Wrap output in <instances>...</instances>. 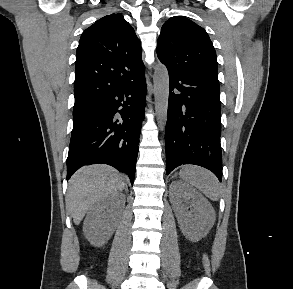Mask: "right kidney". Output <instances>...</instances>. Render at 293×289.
Here are the masks:
<instances>
[{
	"instance_id": "obj_1",
	"label": "right kidney",
	"mask_w": 293,
	"mask_h": 289,
	"mask_svg": "<svg viewBox=\"0 0 293 289\" xmlns=\"http://www.w3.org/2000/svg\"><path fill=\"white\" fill-rule=\"evenodd\" d=\"M125 204V195L115 193L98 201L84 221L86 238L95 245L105 243L113 234Z\"/></svg>"
}]
</instances>
